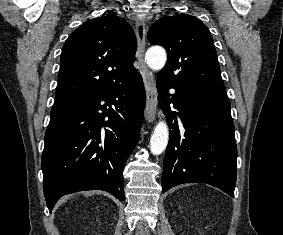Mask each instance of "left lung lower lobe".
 Returning <instances> with one entry per match:
<instances>
[{"label":"left lung lower lobe","instance_id":"obj_1","mask_svg":"<svg viewBox=\"0 0 283 235\" xmlns=\"http://www.w3.org/2000/svg\"><path fill=\"white\" fill-rule=\"evenodd\" d=\"M175 94L170 96L169 89ZM158 101L170 128L164 157L162 192L189 182L215 186L234 196L237 148L228 97L196 92L157 77ZM179 110H170L169 105Z\"/></svg>","mask_w":283,"mask_h":235}]
</instances>
